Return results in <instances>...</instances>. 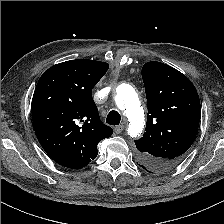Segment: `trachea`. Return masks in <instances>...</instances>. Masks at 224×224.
Here are the masks:
<instances>
[{"label": "trachea", "instance_id": "trachea-1", "mask_svg": "<svg viewBox=\"0 0 224 224\" xmlns=\"http://www.w3.org/2000/svg\"><path fill=\"white\" fill-rule=\"evenodd\" d=\"M120 121H121V116L115 110L110 111L109 114L107 115L106 122L109 125H118L120 123Z\"/></svg>", "mask_w": 224, "mask_h": 224}]
</instances>
